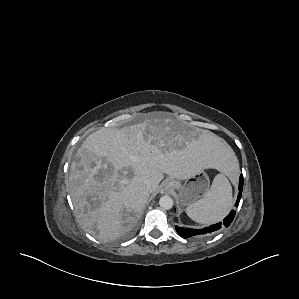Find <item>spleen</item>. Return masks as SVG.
Returning a JSON list of instances; mask_svg holds the SVG:
<instances>
[{
	"instance_id": "1",
	"label": "spleen",
	"mask_w": 299,
	"mask_h": 299,
	"mask_svg": "<svg viewBox=\"0 0 299 299\" xmlns=\"http://www.w3.org/2000/svg\"><path fill=\"white\" fill-rule=\"evenodd\" d=\"M232 206V187L224 174H218L204 197L189 205L187 215L195 222L212 224L221 221Z\"/></svg>"
}]
</instances>
